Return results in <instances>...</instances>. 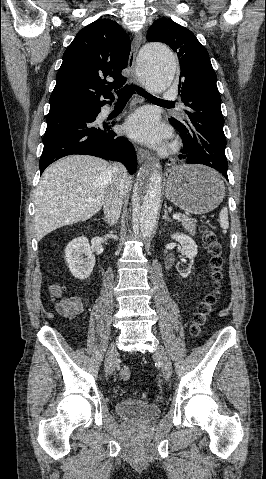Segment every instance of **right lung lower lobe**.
<instances>
[{
  "mask_svg": "<svg viewBox=\"0 0 266 479\" xmlns=\"http://www.w3.org/2000/svg\"><path fill=\"white\" fill-rule=\"evenodd\" d=\"M105 104L84 109L64 108L49 111L40 158L41 174L54 161L73 154L119 161L126 166L130 174L135 173L137 159L132 144L113 132L111 128L115 122H96V117Z\"/></svg>",
  "mask_w": 266,
  "mask_h": 479,
  "instance_id": "98d812e1",
  "label": "right lung lower lobe"
}]
</instances>
